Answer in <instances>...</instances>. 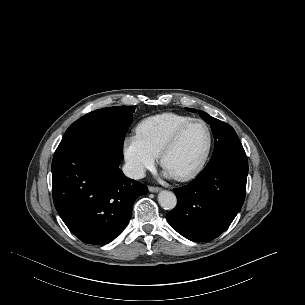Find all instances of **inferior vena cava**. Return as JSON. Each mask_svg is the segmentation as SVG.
Returning a JSON list of instances; mask_svg holds the SVG:
<instances>
[{"label": "inferior vena cava", "instance_id": "obj_1", "mask_svg": "<svg viewBox=\"0 0 305 305\" xmlns=\"http://www.w3.org/2000/svg\"><path fill=\"white\" fill-rule=\"evenodd\" d=\"M122 170L124 174L131 179L137 180L145 177V170L139 164L127 162L123 166Z\"/></svg>", "mask_w": 305, "mask_h": 305}]
</instances>
